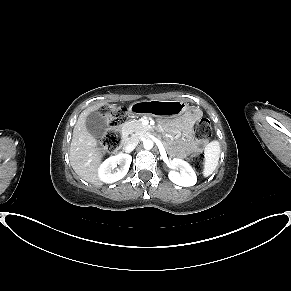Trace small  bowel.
Wrapping results in <instances>:
<instances>
[{
	"instance_id": "small-bowel-1",
	"label": "small bowel",
	"mask_w": 291,
	"mask_h": 291,
	"mask_svg": "<svg viewBox=\"0 0 291 291\" xmlns=\"http://www.w3.org/2000/svg\"><path fill=\"white\" fill-rule=\"evenodd\" d=\"M178 116L179 119L165 122L164 126L177 137L172 147V154L177 158H183L196 147L192 136V125L199 120L201 113L195 107H186L179 111Z\"/></svg>"
}]
</instances>
